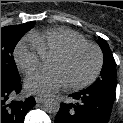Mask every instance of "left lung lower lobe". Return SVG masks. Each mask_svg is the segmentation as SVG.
<instances>
[{
	"label": "left lung lower lobe",
	"instance_id": "0a47b994",
	"mask_svg": "<svg viewBox=\"0 0 123 123\" xmlns=\"http://www.w3.org/2000/svg\"><path fill=\"white\" fill-rule=\"evenodd\" d=\"M72 97L74 103L60 105L55 123H108L115 93L86 89Z\"/></svg>",
	"mask_w": 123,
	"mask_h": 123
}]
</instances>
